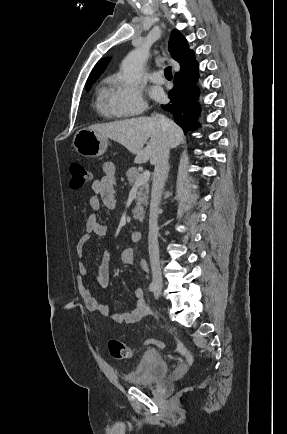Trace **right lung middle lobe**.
Wrapping results in <instances>:
<instances>
[{
    "label": "right lung middle lobe",
    "instance_id": "obj_1",
    "mask_svg": "<svg viewBox=\"0 0 287 434\" xmlns=\"http://www.w3.org/2000/svg\"><path fill=\"white\" fill-rule=\"evenodd\" d=\"M93 83H94V81L93 82H88L86 84V91H89V89L91 88V86H92Z\"/></svg>",
    "mask_w": 287,
    "mask_h": 434
}]
</instances>
